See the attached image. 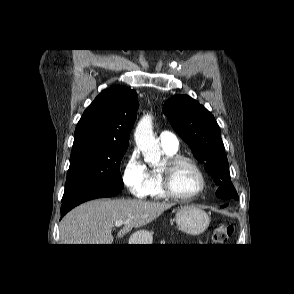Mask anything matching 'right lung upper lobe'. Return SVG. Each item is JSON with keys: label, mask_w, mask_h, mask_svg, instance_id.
Segmentation results:
<instances>
[{"label": "right lung upper lobe", "mask_w": 294, "mask_h": 294, "mask_svg": "<svg viewBox=\"0 0 294 294\" xmlns=\"http://www.w3.org/2000/svg\"><path fill=\"white\" fill-rule=\"evenodd\" d=\"M138 95L125 86L102 91L79 120L73 147L112 145L128 147L129 134L136 119Z\"/></svg>", "instance_id": "right-lung-upper-lobe-1"}]
</instances>
